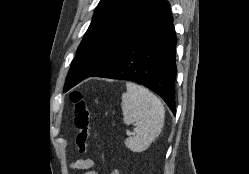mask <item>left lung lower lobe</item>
Listing matches in <instances>:
<instances>
[{
    "instance_id": "obj_1",
    "label": "left lung lower lobe",
    "mask_w": 249,
    "mask_h": 174,
    "mask_svg": "<svg viewBox=\"0 0 249 174\" xmlns=\"http://www.w3.org/2000/svg\"><path fill=\"white\" fill-rule=\"evenodd\" d=\"M176 42L173 18L166 2L111 61L90 77L131 80L144 85L157 93L175 115ZM82 80L74 81L71 88Z\"/></svg>"
}]
</instances>
